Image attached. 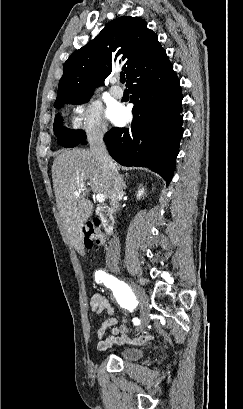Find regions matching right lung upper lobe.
Wrapping results in <instances>:
<instances>
[{"instance_id": "right-lung-upper-lobe-1", "label": "right lung upper lobe", "mask_w": 243, "mask_h": 409, "mask_svg": "<svg viewBox=\"0 0 243 409\" xmlns=\"http://www.w3.org/2000/svg\"><path fill=\"white\" fill-rule=\"evenodd\" d=\"M117 66H122L130 87L162 73L172 64L158 36L143 19L121 16L67 59L55 104L89 99L94 86L103 85Z\"/></svg>"}]
</instances>
